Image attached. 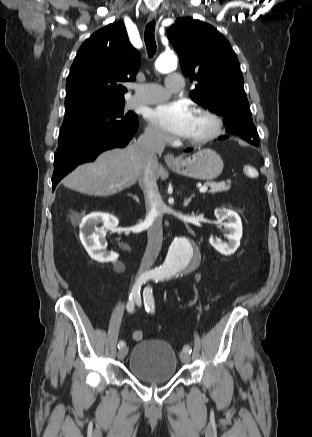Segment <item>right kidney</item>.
<instances>
[{
    "mask_svg": "<svg viewBox=\"0 0 312 437\" xmlns=\"http://www.w3.org/2000/svg\"><path fill=\"white\" fill-rule=\"evenodd\" d=\"M119 221L112 214L95 212L85 216L80 224V240L89 256L101 263L115 261L114 255L107 252L105 234L107 229L117 227ZM98 224H103L98 228Z\"/></svg>",
    "mask_w": 312,
    "mask_h": 437,
    "instance_id": "right-kidney-1",
    "label": "right kidney"
}]
</instances>
